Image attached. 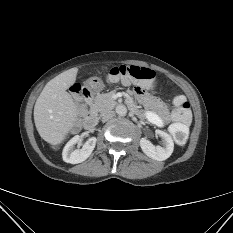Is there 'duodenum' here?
Segmentation results:
<instances>
[{"label": "duodenum", "instance_id": "duodenum-1", "mask_svg": "<svg viewBox=\"0 0 233 233\" xmlns=\"http://www.w3.org/2000/svg\"><path fill=\"white\" fill-rule=\"evenodd\" d=\"M82 95L86 98V101L89 104H92L93 94L89 88H83ZM84 123L87 128H92L95 126V124L97 123V113L94 109H91L90 112L87 114Z\"/></svg>", "mask_w": 233, "mask_h": 233}]
</instances>
